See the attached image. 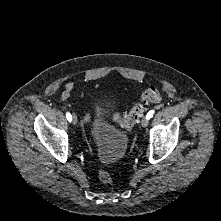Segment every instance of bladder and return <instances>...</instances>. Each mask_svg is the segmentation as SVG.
Listing matches in <instances>:
<instances>
[{"label": "bladder", "instance_id": "1", "mask_svg": "<svg viewBox=\"0 0 221 221\" xmlns=\"http://www.w3.org/2000/svg\"><path fill=\"white\" fill-rule=\"evenodd\" d=\"M92 127L95 131L94 143L96 146L108 148V153L104 158L106 164H115L125 157L129 144L128 136L110 127L104 110L96 109L94 111Z\"/></svg>", "mask_w": 221, "mask_h": 221}]
</instances>
